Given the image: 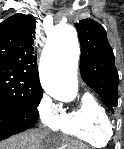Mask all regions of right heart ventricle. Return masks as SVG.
Wrapping results in <instances>:
<instances>
[{
  "mask_svg": "<svg viewBox=\"0 0 124 149\" xmlns=\"http://www.w3.org/2000/svg\"><path fill=\"white\" fill-rule=\"evenodd\" d=\"M93 147L106 146L112 135L105 107L91 94H85L74 110L65 113L56 129Z\"/></svg>",
  "mask_w": 124,
  "mask_h": 149,
  "instance_id": "e07e8e85",
  "label": "right heart ventricle"
}]
</instances>
